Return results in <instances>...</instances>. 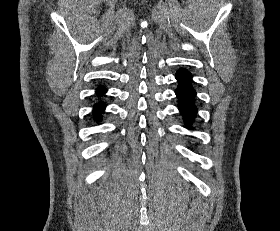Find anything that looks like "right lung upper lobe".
Listing matches in <instances>:
<instances>
[{
    "instance_id": "obj_1",
    "label": "right lung upper lobe",
    "mask_w": 280,
    "mask_h": 231,
    "mask_svg": "<svg viewBox=\"0 0 280 231\" xmlns=\"http://www.w3.org/2000/svg\"><path fill=\"white\" fill-rule=\"evenodd\" d=\"M104 89H105L104 87L100 86V87L97 88V91H101V90H104Z\"/></svg>"
}]
</instances>
